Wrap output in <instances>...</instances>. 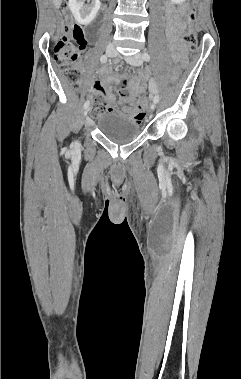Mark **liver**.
Listing matches in <instances>:
<instances>
[{
  "mask_svg": "<svg viewBox=\"0 0 241 379\" xmlns=\"http://www.w3.org/2000/svg\"><path fill=\"white\" fill-rule=\"evenodd\" d=\"M62 0H53L54 4L55 5H59L61 3Z\"/></svg>",
  "mask_w": 241,
  "mask_h": 379,
  "instance_id": "6515ba94",
  "label": "liver"
}]
</instances>
